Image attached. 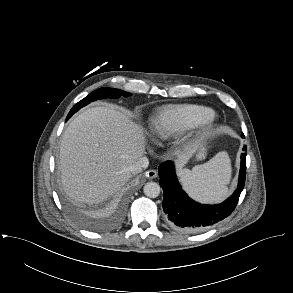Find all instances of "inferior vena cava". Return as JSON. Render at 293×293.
<instances>
[{
    "instance_id": "602c4592",
    "label": "inferior vena cava",
    "mask_w": 293,
    "mask_h": 293,
    "mask_svg": "<svg viewBox=\"0 0 293 293\" xmlns=\"http://www.w3.org/2000/svg\"><path fill=\"white\" fill-rule=\"evenodd\" d=\"M149 165V160L147 157H140L135 161L129 168L130 172L133 174L140 173L142 169L147 168Z\"/></svg>"
}]
</instances>
